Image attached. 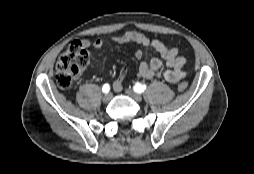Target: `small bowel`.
Returning a JSON list of instances; mask_svg holds the SVG:
<instances>
[{
  "label": "small bowel",
  "instance_id": "c3829d8e",
  "mask_svg": "<svg viewBox=\"0 0 254 174\" xmlns=\"http://www.w3.org/2000/svg\"><path fill=\"white\" fill-rule=\"evenodd\" d=\"M85 48L90 47L89 40H82ZM138 44L146 49L155 50L161 58L147 57V54L142 49H137L135 58L141 60L138 69V75L145 79L163 78L170 83H177L185 78V65L187 60L179 54V50L175 47L163 43L160 40L150 39L144 34L137 31H128L122 35L114 36L109 39H98L93 43L95 50L102 51L108 45H124ZM94 62L98 65H103V62L96 56H92ZM126 71L123 70L121 76L113 83L115 91L120 92L123 88V78Z\"/></svg>",
  "mask_w": 254,
  "mask_h": 174
}]
</instances>
